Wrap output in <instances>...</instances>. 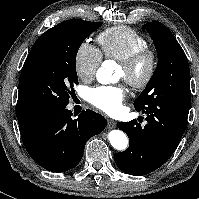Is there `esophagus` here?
Here are the masks:
<instances>
[{
  "instance_id": "34e87169",
  "label": "esophagus",
  "mask_w": 199,
  "mask_h": 199,
  "mask_svg": "<svg viewBox=\"0 0 199 199\" xmlns=\"http://www.w3.org/2000/svg\"><path fill=\"white\" fill-rule=\"evenodd\" d=\"M116 126V122L114 121V120H112V119H108L107 120V127L109 128V129H112V128H114Z\"/></svg>"
}]
</instances>
